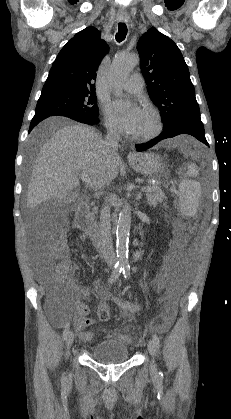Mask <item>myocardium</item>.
<instances>
[{
	"instance_id": "myocardium-1",
	"label": "myocardium",
	"mask_w": 231,
	"mask_h": 419,
	"mask_svg": "<svg viewBox=\"0 0 231 419\" xmlns=\"http://www.w3.org/2000/svg\"><path fill=\"white\" fill-rule=\"evenodd\" d=\"M146 112L152 117L154 126L152 130H150L149 132L145 134H140V135L135 134L133 138L138 141H149L155 138L157 135H159V133L162 130L163 125H162V119L159 112L155 108L150 107V106L146 107Z\"/></svg>"
}]
</instances>
